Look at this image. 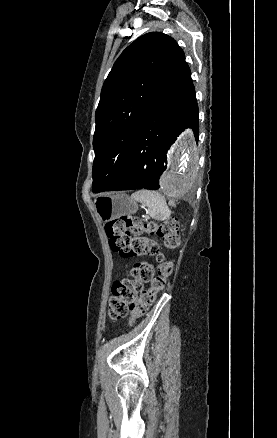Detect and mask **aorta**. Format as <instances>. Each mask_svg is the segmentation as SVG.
I'll use <instances>...</instances> for the list:
<instances>
[{"label":"aorta","instance_id":"aorta-1","mask_svg":"<svg viewBox=\"0 0 277 438\" xmlns=\"http://www.w3.org/2000/svg\"><path fill=\"white\" fill-rule=\"evenodd\" d=\"M198 155L190 131L183 133L171 149L169 168L161 178V189L169 196L189 193L198 176Z\"/></svg>","mask_w":277,"mask_h":438}]
</instances>
